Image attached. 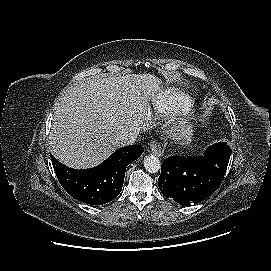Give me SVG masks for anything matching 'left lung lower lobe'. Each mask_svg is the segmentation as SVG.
I'll return each mask as SVG.
<instances>
[{
  "label": "left lung lower lobe",
  "instance_id": "left-lung-lower-lobe-1",
  "mask_svg": "<svg viewBox=\"0 0 271 271\" xmlns=\"http://www.w3.org/2000/svg\"><path fill=\"white\" fill-rule=\"evenodd\" d=\"M227 168L205 156H171L161 165L160 191L167 198L189 206L210 196L220 186Z\"/></svg>",
  "mask_w": 271,
  "mask_h": 271
}]
</instances>
